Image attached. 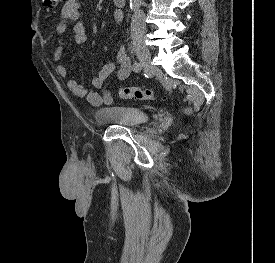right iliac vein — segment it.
<instances>
[{"label":"right iliac vein","mask_w":275,"mask_h":263,"mask_svg":"<svg viewBox=\"0 0 275 263\" xmlns=\"http://www.w3.org/2000/svg\"><path fill=\"white\" fill-rule=\"evenodd\" d=\"M133 44H134V48L137 53V56L141 61V63L143 65H148L151 59V54L144 40L142 38H135L133 40Z\"/></svg>","instance_id":"1"}]
</instances>
